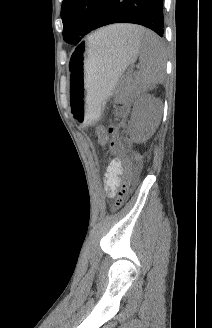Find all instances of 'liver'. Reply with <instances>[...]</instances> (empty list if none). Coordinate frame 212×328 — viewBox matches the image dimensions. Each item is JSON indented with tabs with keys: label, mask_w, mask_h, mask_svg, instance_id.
I'll list each match as a JSON object with an SVG mask.
<instances>
[{
	"label": "liver",
	"mask_w": 212,
	"mask_h": 328,
	"mask_svg": "<svg viewBox=\"0 0 212 328\" xmlns=\"http://www.w3.org/2000/svg\"><path fill=\"white\" fill-rule=\"evenodd\" d=\"M136 26L117 24L105 27L94 33L100 42H126L134 38Z\"/></svg>",
	"instance_id": "obj_1"
}]
</instances>
